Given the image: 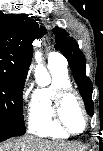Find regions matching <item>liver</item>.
Here are the masks:
<instances>
[{"label":"liver","mask_w":103,"mask_h":151,"mask_svg":"<svg viewBox=\"0 0 103 151\" xmlns=\"http://www.w3.org/2000/svg\"><path fill=\"white\" fill-rule=\"evenodd\" d=\"M0 151H82L67 142L50 141L30 135L1 144Z\"/></svg>","instance_id":"6515ba94"}]
</instances>
